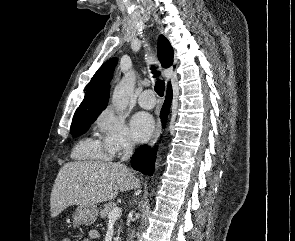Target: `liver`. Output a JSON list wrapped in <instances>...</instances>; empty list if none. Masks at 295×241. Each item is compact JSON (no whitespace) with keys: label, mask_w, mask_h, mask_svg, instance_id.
<instances>
[{"label":"liver","mask_w":295,"mask_h":241,"mask_svg":"<svg viewBox=\"0 0 295 241\" xmlns=\"http://www.w3.org/2000/svg\"><path fill=\"white\" fill-rule=\"evenodd\" d=\"M140 180L120 163L68 162L58 172L51 198V216L71 205H94L115 198L118 192L139 188Z\"/></svg>","instance_id":"6515ba94"}]
</instances>
